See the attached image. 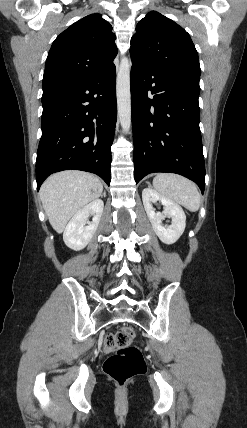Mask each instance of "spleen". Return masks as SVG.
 Segmentation results:
<instances>
[{"instance_id": "1", "label": "spleen", "mask_w": 247, "mask_h": 428, "mask_svg": "<svg viewBox=\"0 0 247 428\" xmlns=\"http://www.w3.org/2000/svg\"><path fill=\"white\" fill-rule=\"evenodd\" d=\"M153 186L163 196L176 201L191 212H196L200 208L197 186L181 175L159 173L153 179Z\"/></svg>"}]
</instances>
